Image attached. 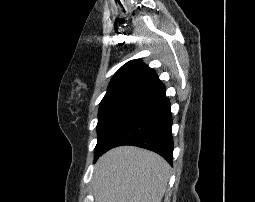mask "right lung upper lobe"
I'll return each mask as SVG.
<instances>
[{"instance_id": "obj_1", "label": "right lung upper lobe", "mask_w": 255, "mask_h": 202, "mask_svg": "<svg viewBox=\"0 0 255 202\" xmlns=\"http://www.w3.org/2000/svg\"><path fill=\"white\" fill-rule=\"evenodd\" d=\"M165 97V86L158 76L140 59L124 64L113 76L99 113L118 111L139 112Z\"/></svg>"}]
</instances>
